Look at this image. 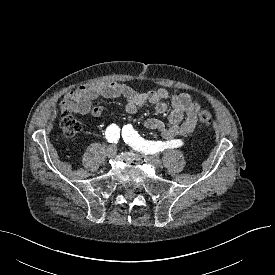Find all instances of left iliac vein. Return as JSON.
<instances>
[{
    "instance_id": "4c4485c4",
    "label": "left iliac vein",
    "mask_w": 275,
    "mask_h": 275,
    "mask_svg": "<svg viewBox=\"0 0 275 275\" xmlns=\"http://www.w3.org/2000/svg\"><path fill=\"white\" fill-rule=\"evenodd\" d=\"M146 154V153H145ZM148 159L152 164L155 166H160L161 165V159L157 155H152V154H147Z\"/></svg>"
}]
</instances>
